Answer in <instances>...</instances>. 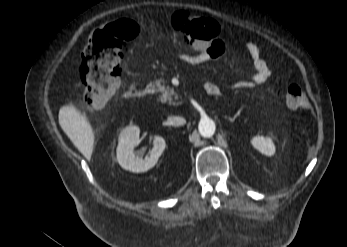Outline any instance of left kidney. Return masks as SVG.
Wrapping results in <instances>:
<instances>
[{"label":"left kidney","mask_w":347,"mask_h":247,"mask_svg":"<svg viewBox=\"0 0 347 247\" xmlns=\"http://www.w3.org/2000/svg\"><path fill=\"white\" fill-rule=\"evenodd\" d=\"M251 143L254 148L264 155L272 156L275 153L274 143L269 137L255 136L252 138Z\"/></svg>","instance_id":"obj_1"}]
</instances>
